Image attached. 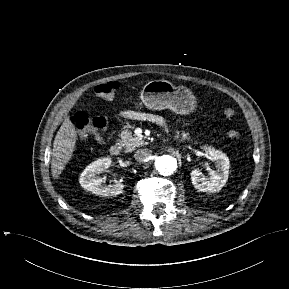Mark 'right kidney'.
<instances>
[{
	"instance_id": "obj_1",
	"label": "right kidney",
	"mask_w": 289,
	"mask_h": 289,
	"mask_svg": "<svg viewBox=\"0 0 289 289\" xmlns=\"http://www.w3.org/2000/svg\"><path fill=\"white\" fill-rule=\"evenodd\" d=\"M111 158H101L89 164L82 172L79 182L87 191H91L96 195L115 196L123 192L124 185L117 182L116 184L104 186L102 179L96 174L106 170L111 165Z\"/></svg>"
}]
</instances>
